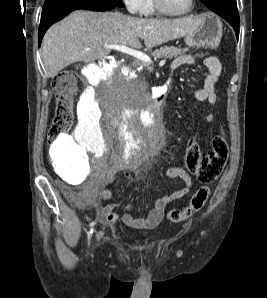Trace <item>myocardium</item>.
<instances>
[{"label": "myocardium", "instance_id": "myocardium-1", "mask_svg": "<svg viewBox=\"0 0 267 298\" xmlns=\"http://www.w3.org/2000/svg\"><path fill=\"white\" fill-rule=\"evenodd\" d=\"M153 4H154V8H155L156 12L161 15L169 16V17H182V16H186L189 13H191V11L193 10L194 5H195V0H190L189 7L181 13H174V12H171L170 10H168L164 5L163 0H153Z\"/></svg>", "mask_w": 267, "mask_h": 298}]
</instances>
